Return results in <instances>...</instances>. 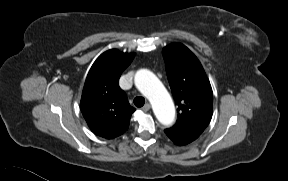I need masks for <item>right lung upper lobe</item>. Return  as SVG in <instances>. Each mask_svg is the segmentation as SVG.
Returning <instances> with one entry per match:
<instances>
[{"mask_svg":"<svg viewBox=\"0 0 288 181\" xmlns=\"http://www.w3.org/2000/svg\"><path fill=\"white\" fill-rule=\"evenodd\" d=\"M134 57L135 53L108 50L96 59L87 75L81 111L89 128L98 136L113 139L128 129L135 109L118 80Z\"/></svg>","mask_w":288,"mask_h":181,"instance_id":"right-lung-upper-lobe-1","label":"right lung upper lobe"}]
</instances>
